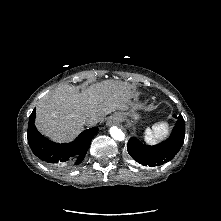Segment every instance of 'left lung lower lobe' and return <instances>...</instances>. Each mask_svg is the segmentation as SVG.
<instances>
[{"label":"left lung lower lobe","instance_id":"1","mask_svg":"<svg viewBox=\"0 0 221 221\" xmlns=\"http://www.w3.org/2000/svg\"><path fill=\"white\" fill-rule=\"evenodd\" d=\"M177 123L170 137L155 146H148L141 143L137 138H130L127 144L129 155L143 166H159L170 160L178 153L185 136V122L182 115L178 117Z\"/></svg>","mask_w":221,"mask_h":221}]
</instances>
